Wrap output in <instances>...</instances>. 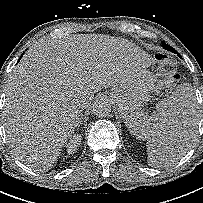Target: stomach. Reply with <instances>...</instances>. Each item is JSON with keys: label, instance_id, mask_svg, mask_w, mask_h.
Here are the masks:
<instances>
[{"label": "stomach", "instance_id": "obj_1", "mask_svg": "<svg viewBox=\"0 0 203 203\" xmlns=\"http://www.w3.org/2000/svg\"><path fill=\"white\" fill-rule=\"evenodd\" d=\"M153 86L151 74L141 69L136 71L129 81L119 85L112 92V99L125 121L130 119L134 112L139 111L140 106L148 99Z\"/></svg>", "mask_w": 203, "mask_h": 203}]
</instances>
